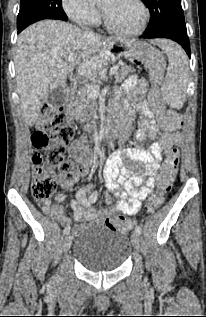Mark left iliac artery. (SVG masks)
I'll return each mask as SVG.
<instances>
[{
  "label": "left iliac artery",
  "mask_w": 206,
  "mask_h": 317,
  "mask_svg": "<svg viewBox=\"0 0 206 317\" xmlns=\"http://www.w3.org/2000/svg\"><path fill=\"white\" fill-rule=\"evenodd\" d=\"M135 232H136V234H137L138 236H140V235H141V228H140L139 226H136Z\"/></svg>",
  "instance_id": "1"
}]
</instances>
